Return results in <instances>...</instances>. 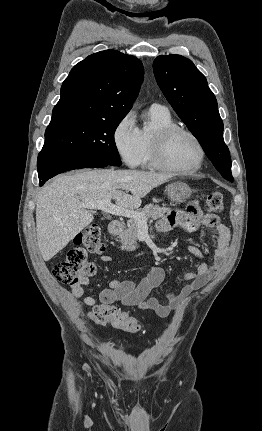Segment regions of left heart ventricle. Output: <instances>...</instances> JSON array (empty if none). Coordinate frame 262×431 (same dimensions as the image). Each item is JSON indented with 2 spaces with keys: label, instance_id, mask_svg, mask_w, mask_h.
<instances>
[{
  "label": "left heart ventricle",
  "instance_id": "b2bd125f",
  "mask_svg": "<svg viewBox=\"0 0 262 431\" xmlns=\"http://www.w3.org/2000/svg\"><path fill=\"white\" fill-rule=\"evenodd\" d=\"M166 157L171 165L191 170L199 161V150L192 138L179 133L169 139L166 146Z\"/></svg>",
  "mask_w": 262,
  "mask_h": 431
}]
</instances>
